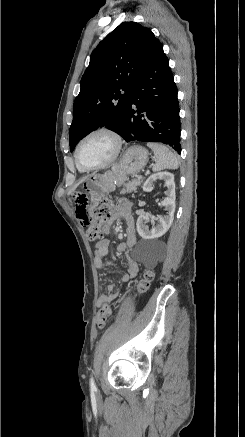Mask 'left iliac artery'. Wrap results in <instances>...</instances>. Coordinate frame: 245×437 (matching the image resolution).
Listing matches in <instances>:
<instances>
[{
  "instance_id": "obj_1",
  "label": "left iliac artery",
  "mask_w": 245,
  "mask_h": 437,
  "mask_svg": "<svg viewBox=\"0 0 245 437\" xmlns=\"http://www.w3.org/2000/svg\"><path fill=\"white\" fill-rule=\"evenodd\" d=\"M90 387H91V389H96V385H95L93 377H91V379H90Z\"/></svg>"
}]
</instances>
